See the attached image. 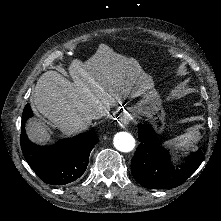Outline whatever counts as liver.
Segmentation results:
<instances>
[{
	"mask_svg": "<svg viewBox=\"0 0 221 221\" xmlns=\"http://www.w3.org/2000/svg\"><path fill=\"white\" fill-rule=\"evenodd\" d=\"M114 53L105 44H99L94 55L85 63L73 60L69 66L67 79L57 71L44 72L30 102L33 111L40 112L53 122L66 137H74L91 126V114L98 106H110L109 96L120 97L132 92H140L148 80H142V71L129 68L125 58L112 57ZM138 89L135 91V89ZM27 138L38 145L50 142L52 135L46 124L37 117H30L25 122Z\"/></svg>",
	"mask_w": 221,
	"mask_h": 221,
	"instance_id": "1",
	"label": "liver"
}]
</instances>
